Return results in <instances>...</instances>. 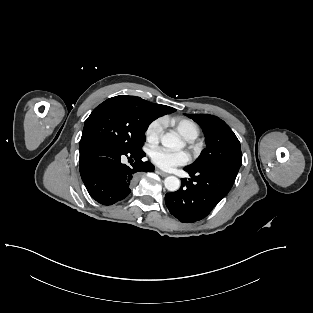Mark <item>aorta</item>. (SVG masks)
<instances>
[{
    "label": "aorta",
    "mask_w": 313,
    "mask_h": 313,
    "mask_svg": "<svg viewBox=\"0 0 313 313\" xmlns=\"http://www.w3.org/2000/svg\"><path fill=\"white\" fill-rule=\"evenodd\" d=\"M161 143L164 147L175 149L182 146V141L175 132L166 133L161 137ZM165 188L168 191H177L180 187V180L175 176H168L164 180Z\"/></svg>",
    "instance_id": "762f6f07"
}]
</instances>
